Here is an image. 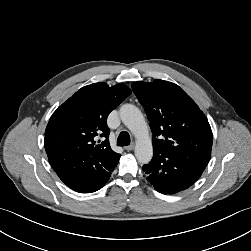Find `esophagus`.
<instances>
[{
	"label": "esophagus",
	"instance_id": "obj_1",
	"mask_svg": "<svg viewBox=\"0 0 251 251\" xmlns=\"http://www.w3.org/2000/svg\"><path fill=\"white\" fill-rule=\"evenodd\" d=\"M133 149H134V144L125 146V150H127V151H131V150H133Z\"/></svg>",
	"mask_w": 251,
	"mask_h": 251
}]
</instances>
